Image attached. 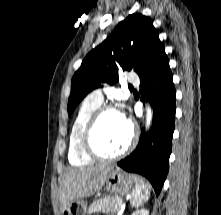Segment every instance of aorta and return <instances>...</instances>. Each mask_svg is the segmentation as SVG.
Here are the masks:
<instances>
[{"instance_id":"1","label":"aorta","mask_w":221,"mask_h":215,"mask_svg":"<svg viewBox=\"0 0 221 215\" xmlns=\"http://www.w3.org/2000/svg\"><path fill=\"white\" fill-rule=\"evenodd\" d=\"M152 120V111L151 108L148 106L147 107V116H146V127L148 128L150 126Z\"/></svg>"}]
</instances>
